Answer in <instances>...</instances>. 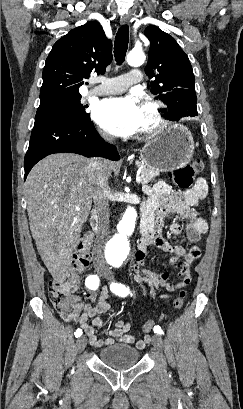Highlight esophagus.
Wrapping results in <instances>:
<instances>
[{"label": "esophagus", "instance_id": "esophagus-1", "mask_svg": "<svg viewBox=\"0 0 243 409\" xmlns=\"http://www.w3.org/2000/svg\"><path fill=\"white\" fill-rule=\"evenodd\" d=\"M129 21H130V15L129 14H126V15L122 16L121 20H120L122 25L129 24Z\"/></svg>", "mask_w": 243, "mask_h": 409}]
</instances>
